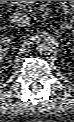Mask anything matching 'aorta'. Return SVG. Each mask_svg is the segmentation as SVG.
Returning a JSON list of instances; mask_svg holds the SVG:
<instances>
[{
	"instance_id": "aorta-1",
	"label": "aorta",
	"mask_w": 74,
	"mask_h": 122,
	"mask_svg": "<svg viewBox=\"0 0 74 122\" xmlns=\"http://www.w3.org/2000/svg\"><path fill=\"white\" fill-rule=\"evenodd\" d=\"M38 46L37 49L40 53L49 54L53 52L58 46L57 38L47 32H41L38 35Z\"/></svg>"
}]
</instances>
